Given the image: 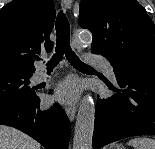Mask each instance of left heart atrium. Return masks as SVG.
I'll use <instances>...</instances> for the list:
<instances>
[{
	"label": "left heart atrium",
	"instance_id": "left-heart-atrium-1",
	"mask_svg": "<svg viewBox=\"0 0 155 149\" xmlns=\"http://www.w3.org/2000/svg\"><path fill=\"white\" fill-rule=\"evenodd\" d=\"M78 93V83L75 80L69 79L59 85L55 98L61 102L71 103L76 100Z\"/></svg>",
	"mask_w": 155,
	"mask_h": 149
}]
</instances>
